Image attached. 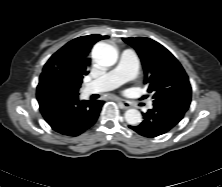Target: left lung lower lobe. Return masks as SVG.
Returning a JSON list of instances; mask_svg holds the SVG:
<instances>
[{"label":"left lung lower lobe","mask_w":222,"mask_h":187,"mask_svg":"<svg viewBox=\"0 0 222 187\" xmlns=\"http://www.w3.org/2000/svg\"><path fill=\"white\" fill-rule=\"evenodd\" d=\"M190 102L191 92L188 91L161 95L154 99L153 108L143 114V122L129 128L148 138L163 135L181 121Z\"/></svg>","instance_id":"1"}]
</instances>
